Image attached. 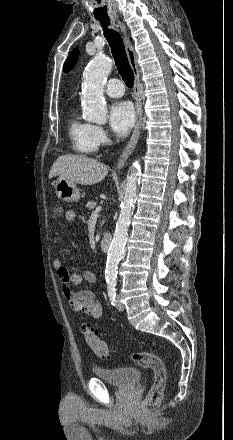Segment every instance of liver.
<instances>
[{
    "label": "liver",
    "instance_id": "obj_1",
    "mask_svg": "<svg viewBox=\"0 0 233 440\" xmlns=\"http://www.w3.org/2000/svg\"><path fill=\"white\" fill-rule=\"evenodd\" d=\"M108 173V166L84 155H62L51 167L49 178L62 176L81 185L97 184Z\"/></svg>",
    "mask_w": 233,
    "mask_h": 440
}]
</instances>
